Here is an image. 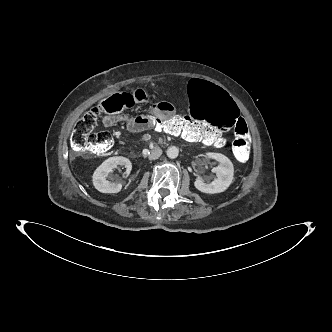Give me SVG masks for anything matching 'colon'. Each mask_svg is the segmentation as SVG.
Masks as SVG:
<instances>
[{"mask_svg": "<svg viewBox=\"0 0 332 332\" xmlns=\"http://www.w3.org/2000/svg\"><path fill=\"white\" fill-rule=\"evenodd\" d=\"M189 104L192 113L197 116L177 115L172 120L155 116L152 110L140 114L141 122L152 124V129L170 135L190 137L208 145L221 146L223 138L211 127L202 126L209 121L220 130L234 128L232 151L236 159L244 162L249 157V130L245 121L240 120L239 108L230 97L215 86L202 80H195L188 87ZM135 102L131 93L119 92L105 98L96 108L86 112L75 124L71 136L72 149L77 154L92 153L102 155L113 145V137L108 131H96L98 117L101 114L123 112ZM155 116V118H154Z\"/></svg>", "mask_w": 332, "mask_h": 332, "instance_id": "obj_1", "label": "colon"}]
</instances>
